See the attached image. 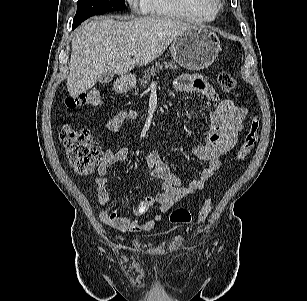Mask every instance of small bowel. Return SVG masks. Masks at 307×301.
<instances>
[{
	"label": "small bowel",
	"instance_id": "obj_1",
	"mask_svg": "<svg viewBox=\"0 0 307 301\" xmlns=\"http://www.w3.org/2000/svg\"><path fill=\"white\" fill-rule=\"evenodd\" d=\"M174 87L178 92H195L210 100L214 107L209 112V130L205 143L193 149L194 156L207 163L196 177L182 185L166 166L160 153L156 150L146 155L149 174L161 182V191L153 196H147L137 204L130 214L121 216L117 209L104 210L99 214L102 223L121 232L139 233L153 230L161 215L168 212L181 198L204 189L207 183L221 168L220 158L228 153L235 145L243 127L247 109L236 105L232 100L222 99L200 75H181L176 78ZM139 116L135 109H125L109 117L104 127L109 132H119L127 120H135ZM126 146L117 150H106L103 160L98 166V176L95 178L97 199L106 205L110 201L106 177L109 169L117 162L128 157ZM158 207V211L148 220L140 219L151 207Z\"/></svg>",
	"mask_w": 307,
	"mask_h": 301
}]
</instances>
